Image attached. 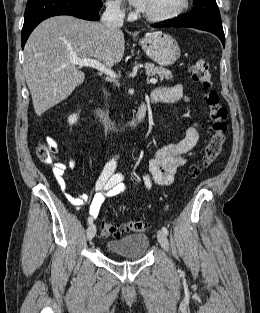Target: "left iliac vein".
<instances>
[{
	"mask_svg": "<svg viewBox=\"0 0 260 313\" xmlns=\"http://www.w3.org/2000/svg\"><path fill=\"white\" fill-rule=\"evenodd\" d=\"M157 238H158V241H159L161 247L164 250L169 251V242H168V239L166 237V234L163 231H158L157 232Z\"/></svg>",
	"mask_w": 260,
	"mask_h": 313,
	"instance_id": "4c4485c4",
	"label": "left iliac vein"
}]
</instances>
